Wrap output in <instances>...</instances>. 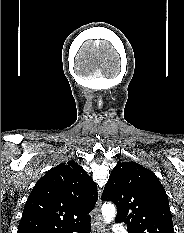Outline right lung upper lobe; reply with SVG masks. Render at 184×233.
I'll return each instance as SVG.
<instances>
[{"label":"right lung upper lobe","instance_id":"1","mask_svg":"<svg viewBox=\"0 0 184 233\" xmlns=\"http://www.w3.org/2000/svg\"><path fill=\"white\" fill-rule=\"evenodd\" d=\"M97 186L75 161L49 170L32 189L17 233H63L91 219Z\"/></svg>","mask_w":184,"mask_h":233}]
</instances>
